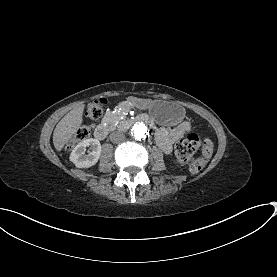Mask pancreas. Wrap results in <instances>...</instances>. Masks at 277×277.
<instances>
[{
    "label": "pancreas",
    "mask_w": 277,
    "mask_h": 277,
    "mask_svg": "<svg viewBox=\"0 0 277 277\" xmlns=\"http://www.w3.org/2000/svg\"><path fill=\"white\" fill-rule=\"evenodd\" d=\"M130 105L127 102H120L117 105V108H112L107 111L104 115V122L107 125H114L116 122L120 120L121 116H127L130 113Z\"/></svg>",
    "instance_id": "obj_1"
}]
</instances>
